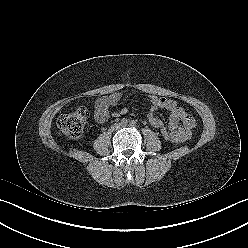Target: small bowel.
I'll return each mask as SVG.
<instances>
[{
    "label": "small bowel",
    "mask_w": 248,
    "mask_h": 248,
    "mask_svg": "<svg viewBox=\"0 0 248 248\" xmlns=\"http://www.w3.org/2000/svg\"><path fill=\"white\" fill-rule=\"evenodd\" d=\"M121 98L122 94L120 92H114L98 98L95 102L94 110L96 122L104 124L109 118V109L116 106ZM149 100L151 108L147 119L152 127L160 129L164 126L163 121L156 115V111L165 109L170 113L168 127L177 136V142H184L190 138L192 129L197 125L196 119L191 114L172 99L151 95Z\"/></svg>",
    "instance_id": "1"
}]
</instances>
